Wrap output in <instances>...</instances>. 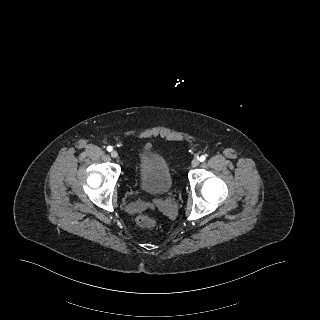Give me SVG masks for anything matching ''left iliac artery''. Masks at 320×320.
<instances>
[{"mask_svg": "<svg viewBox=\"0 0 320 320\" xmlns=\"http://www.w3.org/2000/svg\"><path fill=\"white\" fill-rule=\"evenodd\" d=\"M205 159H206V156H205V155H202V156L199 158V160H200L201 162H203Z\"/></svg>", "mask_w": 320, "mask_h": 320, "instance_id": "left-iliac-artery-1", "label": "left iliac artery"}]
</instances>
